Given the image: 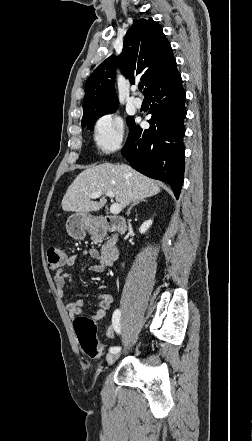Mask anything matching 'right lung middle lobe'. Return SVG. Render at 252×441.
<instances>
[{
	"label": "right lung middle lobe",
	"mask_w": 252,
	"mask_h": 441,
	"mask_svg": "<svg viewBox=\"0 0 252 441\" xmlns=\"http://www.w3.org/2000/svg\"><path fill=\"white\" fill-rule=\"evenodd\" d=\"M114 111H115V109H112V110H109V111H106V112L100 113L99 115L95 116V117L92 118L91 120H89V121L83 123V124H82V128L87 127V129L93 130V125H94V122H95V120H96L97 118L101 117V116L104 115V114L112 113V112H114ZM127 122H128L129 128H130V127L132 126V124L134 123L133 117H128Z\"/></svg>",
	"instance_id": "right-lung-middle-lobe-1"
}]
</instances>
